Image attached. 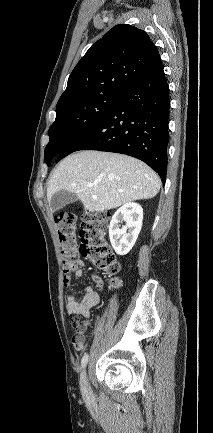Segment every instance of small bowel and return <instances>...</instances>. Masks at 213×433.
<instances>
[{"mask_svg":"<svg viewBox=\"0 0 213 433\" xmlns=\"http://www.w3.org/2000/svg\"><path fill=\"white\" fill-rule=\"evenodd\" d=\"M71 277L74 279H79L82 275V269L79 263H76L73 271L71 272ZM68 286V285H67ZM100 301V296L97 291L91 287H85L83 290V296L80 300L76 299L73 295L67 297L66 309L70 316L82 317L84 319H89L90 311L95 307ZM88 327V322L83 323V328L80 333H75L73 337V344L77 350H83L85 343V332Z\"/></svg>","mask_w":213,"mask_h":433,"instance_id":"small-bowel-1","label":"small bowel"}]
</instances>
